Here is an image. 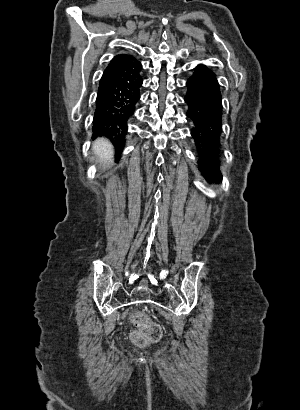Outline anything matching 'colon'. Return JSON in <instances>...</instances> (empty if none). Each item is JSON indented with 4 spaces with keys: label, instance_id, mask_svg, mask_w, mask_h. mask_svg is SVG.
Returning a JSON list of instances; mask_svg holds the SVG:
<instances>
[{
    "label": "colon",
    "instance_id": "colon-1",
    "mask_svg": "<svg viewBox=\"0 0 300 410\" xmlns=\"http://www.w3.org/2000/svg\"><path fill=\"white\" fill-rule=\"evenodd\" d=\"M132 322L138 328L131 335V341L137 346H145L150 343L158 342L162 337L160 325L152 322L142 313H134Z\"/></svg>",
    "mask_w": 300,
    "mask_h": 410
}]
</instances>
